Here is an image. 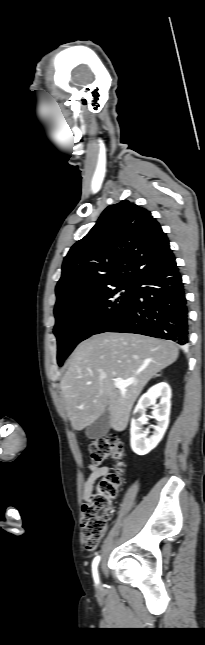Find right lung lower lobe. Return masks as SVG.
Listing matches in <instances>:
<instances>
[{"instance_id":"right-lung-lower-lobe-1","label":"right lung lower lobe","mask_w":205,"mask_h":645,"mask_svg":"<svg viewBox=\"0 0 205 645\" xmlns=\"http://www.w3.org/2000/svg\"><path fill=\"white\" fill-rule=\"evenodd\" d=\"M133 287L132 303L103 332L142 334L186 346L188 308L175 257L143 274Z\"/></svg>"}]
</instances>
